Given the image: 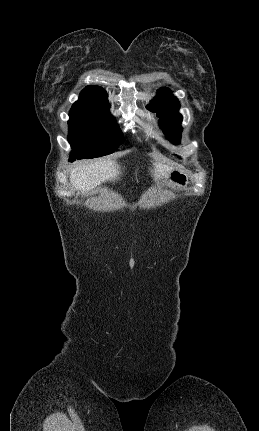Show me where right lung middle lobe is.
Wrapping results in <instances>:
<instances>
[{
	"instance_id": "dd1d6c3e",
	"label": "right lung middle lobe",
	"mask_w": 259,
	"mask_h": 431,
	"mask_svg": "<svg viewBox=\"0 0 259 431\" xmlns=\"http://www.w3.org/2000/svg\"><path fill=\"white\" fill-rule=\"evenodd\" d=\"M109 107L107 100L73 104L68 121L72 161L105 156L117 149L123 138Z\"/></svg>"
}]
</instances>
